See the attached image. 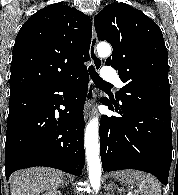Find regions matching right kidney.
Segmentation results:
<instances>
[{"instance_id": "obj_1", "label": "right kidney", "mask_w": 178, "mask_h": 195, "mask_svg": "<svg viewBox=\"0 0 178 195\" xmlns=\"http://www.w3.org/2000/svg\"><path fill=\"white\" fill-rule=\"evenodd\" d=\"M42 195H62V194L57 190H49Z\"/></svg>"}]
</instances>
